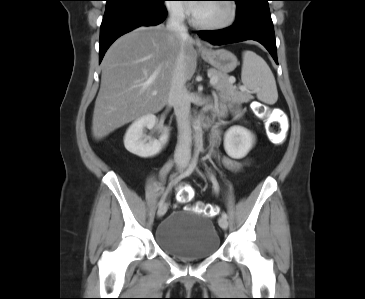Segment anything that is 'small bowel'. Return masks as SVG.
I'll use <instances>...</instances> for the list:
<instances>
[{
    "instance_id": "small-bowel-1",
    "label": "small bowel",
    "mask_w": 365,
    "mask_h": 299,
    "mask_svg": "<svg viewBox=\"0 0 365 299\" xmlns=\"http://www.w3.org/2000/svg\"><path fill=\"white\" fill-rule=\"evenodd\" d=\"M229 107L236 118H239L241 116V110L237 103L231 102L229 103ZM219 135H220V130L219 128H217L213 131L211 135V140L213 143H216L218 141ZM222 163L228 170L235 172L241 170L242 167L246 164L245 161L236 160L230 157H224L222 159ZM171 167H172L171 162L166 163L161 170V176L165 177L167 173L170 171Z\"/></svg>"
}]
</instances>
